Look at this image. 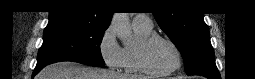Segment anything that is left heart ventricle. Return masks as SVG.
<instances>
[{
    "label": "left heart ventricle",
    "instance_id": "obj_1",
    "mask_svg": "<svg viewBox=\"0 0 255 79\" xmlns=\"http://www.w3.org/2000/svg\"><path fill=\"white\" fill-rule=\"evenodd\" d=\"M172 47L161 39L155 40L147 51L148 65L155 71H166L175 64Z\"/></svg>",
    "mask_w": 255,
    "mask_h": 79
}]
</instances>
